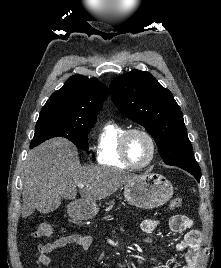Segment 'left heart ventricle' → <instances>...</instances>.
<instances>
[{"label":"left heart ventricle","mask_w":221,"mask_h":268,"mask_svg":"<svg viewBox=\"0 0 221 268\" xmlns=\"http://www.w3.org/2000/svg\"><path fill=\"white\" fill-rule=\"evenodd\" d=\"M127 152L130 160L134 164H144L150 157V142L143 134L134 133L128 139Z\"/></svg>","instance_id":"b2bd125f"}]
</instances>
